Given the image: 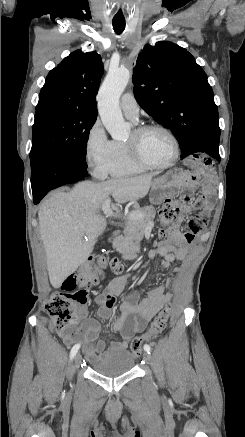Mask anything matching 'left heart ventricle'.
<instances>
[{
    "label": "left heart ventricle",
    "mask_w": 245,
    "mask_h": 437,
    "mask_svg": "<svg viewBox=\"0 0 245 437\" xmlns=\"http://www.w3.org/2000/svg\"><path fill=\"white\" fill-rule=\"evenodd\" d=\"M133 138L130 133L126 141ZM140 155L149 162L163 164L168 162L174 153L171 140L159 130H149L140 135L136 140Z\"/></svg>",
    "instance_id": "1"
}]
</instances>
